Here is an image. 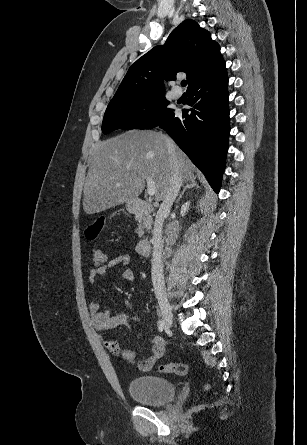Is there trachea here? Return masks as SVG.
Listing matches in <instances>:
<instances>
[{
	"label": "trachea",
	"instance_id": "trachea-1",
	"mask_svg": "<svg viewBox=\"0 0 307 445\" xmlns=\"http://www.w3.org/2000/svg\"><path fill=\"white\" fill-rule=\"evenodd\" d=\"M181 85H182V87H185L187 85V81L186 80H182Z\"/></svg>",
	"mask_w": 307,
	"mask_h": 445
}]
</instances>
